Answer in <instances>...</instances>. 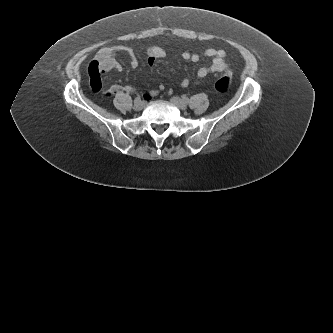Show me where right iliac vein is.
I'll return each mask as SVG.
<instances>
[{"label":"right iliac vein","mask_w":333,"mask_h":333,"mask_svg":"<svg viewBox=\"0 0 333 333\" xmlns=\"http://www.w3.org/2000/svg\"><path fill=\"white\" fill-rule=\"evenodd\" d=\"M145 107V102L144 101H135L134 102V109L136 110V111H140V110H142L143 108Z\"/></svg>","instance_id":"obj_1"}]
</instances>
